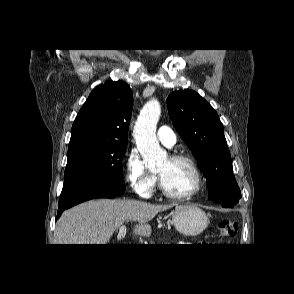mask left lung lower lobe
<instances>
[{
    "instance_id": "left-lung-lower-lobe-1",
    "label": "left lung lower lobe",
    "mask_w": 294,
    "mask_h": 294,
    "mask_svg": "<svg viewBox=\"0 0 294 294\" xmlns=\"http://www.w3.org/2000/svg\"><path fill=\"white\" fill-rule=\"evenodd\" d=\"M212 201L223 204L225 208L234 207L239 199H231V198H210Z\"/></svg>"
}]
</instances>
